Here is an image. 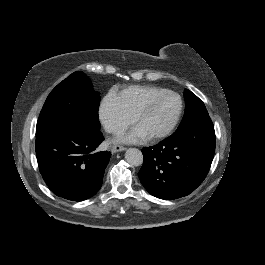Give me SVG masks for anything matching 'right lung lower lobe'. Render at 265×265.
I'll return each instance as SVG.
<instances>
[{"instance_id": "1", "label": "right lung lower lobe", "mask_w": 265, "mask_h": 265, "mask_svg": "<svg viewBox=\"0 0 265 265\" xmlns=\"http://www.w3.org/2000/svg\"><path fill=\"white\" fill-rule=\"evenodd\" d=\"M100 129L78 121H57L36 133V157L44 182L71 201L92 197L100 189L111 153L95 151Z\"/></svg>"}]
</instances>
